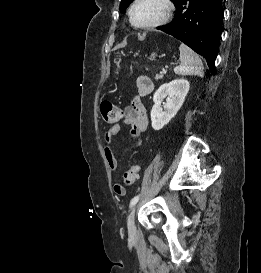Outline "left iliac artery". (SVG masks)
Returning <instances> with one entry per match:
<instances>
[{"mask_svg":"<svg viewBox=\"0 0 261 273\" xmlns=\"http://www.w3.org/2000/svg\"><path fill=\"white\" fill-rule=\"evenodd\" d=\"M139 200V196H135L130 203V207H133Z\"/></svg>","mask_w":261,"mask_h":273,"instance_id":"44dca946","label":"left iliac artery"}]
</instances>
